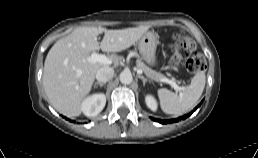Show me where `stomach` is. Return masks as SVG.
I'll use <instances>...</instances> for the list:
<instances>
[{
    "label": "stomach",
    "instance_id": "stomach-1",
    "mask_svg": "<svg viewBox=\"0 0 258 158\" xmlns=\"http://www.w3.org/2000/svg\"><path fill=\"white\" fill-rule=\"evenodd\" d=\"M158 38L153 32H145L138 41V50L143 60L149 65H156V47Z\"/></svg>",
    "mask_w": 258,
    "mask_h": 158
}]
</instances>
